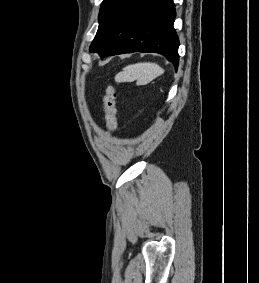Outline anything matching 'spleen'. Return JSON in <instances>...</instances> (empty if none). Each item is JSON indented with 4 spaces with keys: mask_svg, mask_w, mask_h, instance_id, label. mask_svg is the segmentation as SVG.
I'll return each mask as SVG.
<instances>
[{
    "mask_svg": "<svg viewBox=\"0 0 259 283\" xmlns=\"http://www.w3.org/2000/svg\"><path fill=\"white\" fill-rule=\"evenodd\" d=\"M164 70L155 63L144 62L129 65L117 75L120 81H137L140 85H146L156 77L162 75Z\"/></svg>",
    "mask_w": 259,
    "mask_h": 283,
    "instance_id": "1",
    "label": "spleen"
}]
</instances>
